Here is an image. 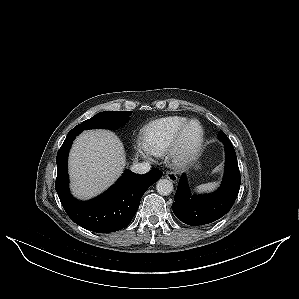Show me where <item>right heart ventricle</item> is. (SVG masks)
I'll use <instances>...</instances> for the list:
<instances>
[{
	"label": "right heart ventricle",
	"mask_w": 299,
	"mask_h": 299,
	"mask_svg": "<svg viewBox=\"0 0 299 299\" xmlns=\"http://www.w3.org/2000/svg\"><path fill=\"white\" fill-rule=\"evenodd\" d=\"M188 120L183 116H168L151 122L144 131L146 150L156 157L165 155Z\"/></svg>",
	"instance_id": "e07e8e85"
}]
</instances>
